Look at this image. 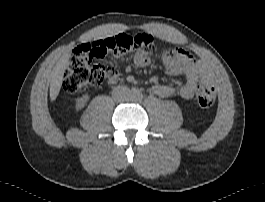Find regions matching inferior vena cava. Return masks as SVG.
<instances>
[{
	"mask_svg": "<svg viewBox=\"0 0 265 202\" xmlns=\"http://www.w3.org/2000/svg\"><path fill=\"white\" fill-rule=\"evenodd\" d=\"M112 97L117 102H125L130 99L131 91L126 86H118L113 89Z\"/></svg>",
	"mask_w": 265,
	"mask_h": 202,
	"instance_id": "inferior-vena-cava-1",
	"label": "inferior vena cava"
}]
</instances>
